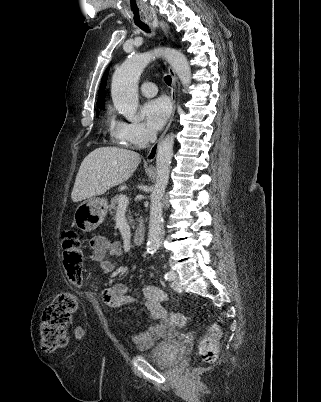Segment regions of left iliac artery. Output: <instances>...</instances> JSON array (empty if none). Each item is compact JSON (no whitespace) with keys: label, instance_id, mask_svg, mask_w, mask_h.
I'll list each match as a JSON object with an SVG mask.
<instances>
[{"label":"left iliac artery","instance_id":"obj_1","mask_svg":"<svg viewBox=\"0 0 321 402\" xmlns=\"http://www.w3.org/2000/svg\"><path fill=\"white\" fill-rule=\"evenodd\" d=\"M165 280H172L173 279V274L171 272H167L164 275Z\"/></svg>","mask_w":321,"mask_h":402}]
</instances>
